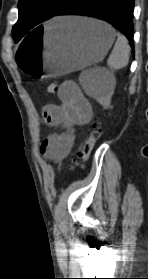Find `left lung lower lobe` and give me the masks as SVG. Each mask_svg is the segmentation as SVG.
Segmentation results:
<instances>
[{
	"mask_svg": "<svg viewBox=\"0 0 148 279\" xmlns=\"http://www.w3.org/2000/svg\"><path fill=\"white\" fill-rule=\"evenodd\" d=\"M134 0H70L58 15H82L98 18L112 24L133 43Z\"/></svg>",
	"mask_w": 148,
	"mask_h": 279,
	"instance_id": "left-lung-lower-lobe-1",
	"label": "left lung lower lobe"
}]
</instances>
